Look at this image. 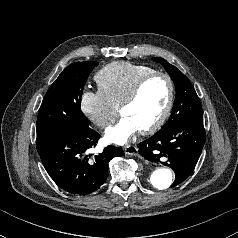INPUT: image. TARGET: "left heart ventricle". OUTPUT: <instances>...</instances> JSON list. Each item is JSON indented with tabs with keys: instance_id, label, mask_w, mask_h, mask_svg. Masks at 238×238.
<instances>
[{
	"instance_id": "b2bd125f",
	"label": "left heart ventricle",
	"mask_w": 238,
	"mask_h": 238,
	"mask_svg": "<svg viewBox=\"0 0 238 238\" xmlns=\"http://www.w3.org/2000/svg\"><path fill=\"white\" fill-rule=\"evenodd\" d=\"M168 95L167 82L163 78L153 79L145 85L138 99L123 109L122 115L130 117L139 129H144L161 115Z\"/></svg>"
}]
</instances>
